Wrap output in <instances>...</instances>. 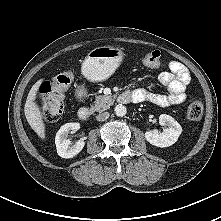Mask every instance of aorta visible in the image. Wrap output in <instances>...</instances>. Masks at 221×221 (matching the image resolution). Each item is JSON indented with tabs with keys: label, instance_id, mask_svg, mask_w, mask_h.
Instances as JSON below:
<instances>
[{
	"label": "aorta",
	"instance_id": "obj_1",
	"mask_svg": "<svg viewBox=\"0 0 221 221\" xmlns=\"http://www.w3.org/2000/svg\"><path fill=\"white\" fill-rule=\"evenodd\" d=\"M114 111L118 117H123L127 113V108L124 105L120 104V105H116Z\"/></svg>",
	"mask_w": 221,
	"mask_h": 221
}]
</instances>
